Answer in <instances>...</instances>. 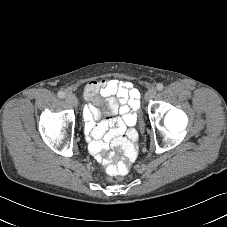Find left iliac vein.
<instances>
[{
    "label": "left iliac vein",
    "instance_id": "1",
    "mask_svg": "<svg viewBox=\"0 0 227 227\" xmlns=\"http://www.w3.org/2000/svg\"><path fill=\"white\" fill-rule=\"evenodd\" d=\"M156 94H157L156 89H154V88L149 89L145 94V100L149 101V100L153 99L156 96Z\"/></svg>",
    "mask_w": 227,
    "mask_h": 227
}]
</instances>
